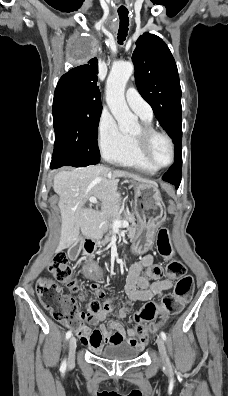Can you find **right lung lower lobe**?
<instances>
[{"label": "right lung lower lobe", "instance_id": "obj_1", "mask_svg": "<svg viewBox=\"0 0 228 396\" xmlns=\"http://www.w3.org/2000/svg\"><path fill=\"white\" fill-rule=\"evenodd\" d=\"M61 166H63V164L57 163V162H54V161L51 162V169L59 168Z\"/></svg>", "mask_w": 228, "mask_h": 396}]
</instances>
